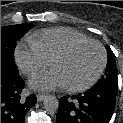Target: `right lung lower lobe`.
Returning <instances> with one entry per match:
<instances>
[{"instance_id": "right-lung-lower-lobe-1", "label": "right lung lower lobe", "mask_w": 123, "mask_h": 123, "mask_svg": "<svg viewBox=\"0 0 123 123\" xmlns=\"http://www.w3.org/2000/svg\"><path fill=\"white\" fill-rule=\"evenodd\" d=\"M23 87L19 73L1 67V123H24L27 111L36 104L35 95L21 98Z\"/></svg>"}]
</instances>
